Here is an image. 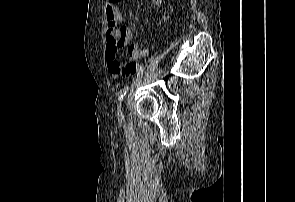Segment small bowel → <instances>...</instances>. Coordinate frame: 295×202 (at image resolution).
Returning a JSON list of instances; mask_svg holds the SVG:
<instances>
[{
    "mask_svg": "<svg viewBox=\"0 0 295 202\" xmlns=\"http://www.w3.org/2000/svg\"><path fill=\"white\" fill-rule=\"evenodd\" d=\"M150 1L156 9H160L162 7V0ZM106 15L108 21L114 20L117 23H121L123 20V17L117 9L115 2H110L109 4H107ZM116 32L122 40L120 48L128 46V54L132 59H141L147 54V51L141 49L138 45L129 44L131 37V31L129 26L121 25L118 28H116ZM106 57L109 61V72L115 78H120L123 75L132 74L137 70V66L133 63H120L119 47H109L107 43Z\"/></svg>",
    "mask_w": 295,
    "mask_h": 202,
    "instance_id": "c3829d8e",
    "label": "small bowel"
}]
</instances>
